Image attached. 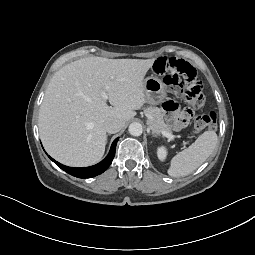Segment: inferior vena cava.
<instances>
[{"label": "inferior vena cava", "mask_w": 255, "mask_h": 255, "mask_svg": "<svg viewBox=\"0 0 255 255\" xmlns=\"http://www.w3.org/2000/svg\"><path fill=\"white\" fill-rule=\"evenodd\" d=\"M105 130L108 133H117L119 132L123 126H124V122L122 120L116 119V118H108L105 123Z\"/></svg>", "instance_id": "inferior-vena-cava-1"}]
</instances>
